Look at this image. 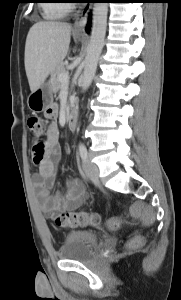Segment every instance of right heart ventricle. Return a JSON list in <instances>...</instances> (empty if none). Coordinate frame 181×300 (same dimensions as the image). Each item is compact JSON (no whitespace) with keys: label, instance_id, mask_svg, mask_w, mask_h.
<instances>
[{"label":"right heart ventricle","instance_id":"right-heart-ventricle-1","mask_svg":"<svg viewBox=\"0 0 181 300\" xmlns=\"http://www.w3.org/2000/svg\"><path fill=\"white\" fill-rule=\"evenodd\" d=\"M42 7L43 16L48 20H55L64 17L68 11V6L61 0H45Z\"/></svg>","mask_w":181,"mask_h":300}]
</instances>
